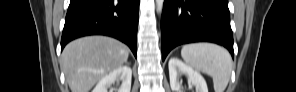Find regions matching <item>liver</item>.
I'll use <instances>...</instances> for the list:
<instances>
[{
  "label": "liver",
  "instance_id": "obj_1",
  "mask_svg": "<svg viewBox=\"0 0 296 92\" xmlns=\"http://www.w3.org/2000/svg\"><path fill=\"white\" fill-rule=\"evenodd\" d=\"M129 50L120 41L105 36L83 37L63 50L60 67L71 92H89L104 76L121 67Z\"/></svg>",
  "mask_w": 296,
  "mask_h": 92
}]
</instances>
